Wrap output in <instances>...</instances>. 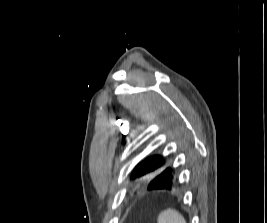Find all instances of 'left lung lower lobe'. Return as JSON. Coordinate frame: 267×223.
Masks as SVG:
<instances>
[{
	"label": "left lung lower lobe",
	"instance_id": "obj_1",
	"mask_svg": "<svg viewBox=\"0 0 267 223\" xmlns=\"http://www.w3.org/2000/svg\"><path fill=\"white\" fill-rule=\"evenodd\" d=\"M179 171L171 173H156L155 179L151 182H143L140 186L141 190H145V195H173L174 187H182V182H177L176 176Z\"/></svg>",
	"mask_w": 267,
	"mask_h": 223
}]
</instances>
